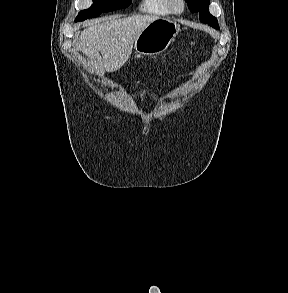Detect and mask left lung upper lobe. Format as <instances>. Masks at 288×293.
Wrapping results in <instances>:
<instances>
[{"label": "left lung upper lobe", "instance_id": "obj_1", "mask_svg": "<svg viewBox=\"0 0 288 293\" xmlns=\"http://www.w3.org/2000/svg\"><path fill=\"white\" fill-rule=\"evenodd\" d=\"M192 13H199L200 21L219 29L217 19L209 13L210 0H185Z\"/></svg>", "mask_w": 288, "mask_h": 293}]
</instances>
